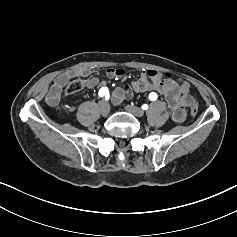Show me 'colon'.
Instances as JSON below:
<instances>
[{"mask_svg": "<svg viewBox=\"0 0 237 237\" xmlns=\"http://www.w3.org/2000/svg\"><path fill=\"white\" fill-rule=\"evenodd\" d=\"M85 82L81 79H75L71 81L66 87V93L72 94L80 91L84 87ZM190 113L192 116H196L198 113V105L196 102H193L190 107Z\"/></svg>", "mask_w": 237, "mask_h": 237, "instance_id": "colon-1", "label": "colon"}]
</instances>
